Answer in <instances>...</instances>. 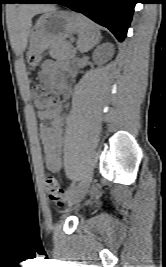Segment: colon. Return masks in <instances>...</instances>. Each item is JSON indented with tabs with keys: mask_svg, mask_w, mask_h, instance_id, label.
Here are the masks:
<instances>
[{
	"mask_svg": "<svg viewBox=\"0 0 166 267\" xmlns=\"http://www.w3.org/2000/svg\"><path fill=\"white\" fill-rule=\"evenodd\" d=\"M32 98L35 107L40 110H46L49 107L56 104L58 100L57 93L51 89L46 88L42 84H34L31 88ZM46 192L54 203L58 206H62L63 202V189L59 185L56 178L48 176L45 179Z\"/></svg>",
	"mask_w": 166,
	"mask_h": 267,
	"instance_id": "5ec220e1",
	"label": "colon"
}]
</instances>
